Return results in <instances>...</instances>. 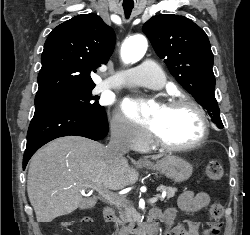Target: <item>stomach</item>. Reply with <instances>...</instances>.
<instances>
[{
  "label": "stomach",
  "instance_id": "1",
  "mask_svg": "<svg viewBox=\"0 0 250 235\" xmlns=\"http://www.w3.org/2000/svg\"><path fill=\"white\" fill-rule=\"evenodd\" d=\"M144 166L165 175L177 183L188 180L193 172V168L189 162L173 155L165 156L156 163H146Z\"/></svg>",
  "mask_w": 250,
  "mask_h": 235
}]
</instances>
